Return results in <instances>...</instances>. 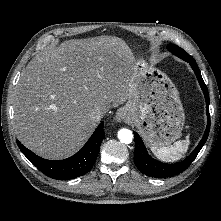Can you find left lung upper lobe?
Here are the masks:
<instances>
[{"label":"left lung upper lobe","instance_id":"obj_1","mask_svg":"<svg viewBox=\"0 0 221 221\" xmlns=\"http://www.w3.org/2000/svg\"><path fill=\"white\" fill-rule=\"evenodd\" d=\"M167 47L173 54L182 58L185 61L192 58L188 53H186L182 48L178 47L177 45L170 44Z\"/></svg>","mask_w":221,"mask_h":221}]
</instances>
